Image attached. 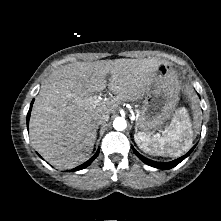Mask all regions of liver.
Returning <instances> with one entry per match:
<instances>
[{"label": "liver", "mask_w": 221, "mask_h": 221, "mask_svg": "<svg viewBox=\"0 0 221 221\" xmlns=\"http://www.w3.org/2000/svg\"><path fill=\"white\" fill-rule=\"evenodd\" d=\"M168 62L115 59L75 62L53 71L35 100L30 118L33 147L51 165L73 168L88 159L96 140L97 113H115L120 101H136L149 92L155 72ZM110 74L109 83L106 77ZM106 86L117 96L95 102Z\"/></svg>", "instance_id": "6515ba94"}]
</instances>
